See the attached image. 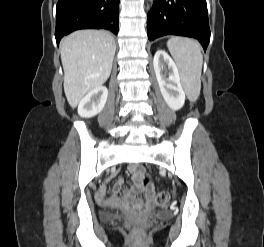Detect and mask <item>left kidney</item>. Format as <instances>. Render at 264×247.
Segmentation results:
<instances>
[{
    "mask_svg": "<svg viewBox=\"0 0 264 247\" xmlns=\"http://www.w3.org/2000/svg\"><path fill=\"white\" fill-rule=\"evenodd\" d=\"M153 65L165 102L172 110L181 109L186 96L176 64L165 51L158 50L154 55Z\"/></svg>",
    "mask_w": 264,
    "mask_h": 247,
    "instance_id": "5707ae66",
    "label": "left kidney"
}]
</instances>
